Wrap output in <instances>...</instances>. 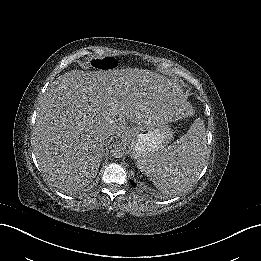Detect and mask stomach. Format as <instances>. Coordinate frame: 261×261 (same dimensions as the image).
Listing matches in <instances>:
<instances>
[{
	"label": "stomach",
	"instance_id": "0dacf381",
	"mask_svg": "<svg viewBox=\"0 0 261 261\" xmlns=\"http://www.w3.org/2000/svg\"><path fill=\"white\" fill-rule=\"evenodd\" d=\"M129 134L130 155L137 161L159 152L170 137L161 116H151Z\"/></svg>",
	"mask_w": 261,
	"mask_h": 261
}]
</instances>
